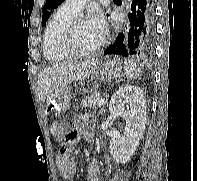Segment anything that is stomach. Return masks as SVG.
Listing matches in <instances>:
<instances>
[{
  "instance_id": "0dacf381",
  "label": "stomach",
  "mask_w": 197,
  "mask_h": 181,
  "mask_svg": "<svg viewBox=\"0 0 197 181\" xmlns=\"http://www.w3.org/2000/svg\"><path fill=\"white\" fill-rule=\"evenodd\" d=\"M95 62L96 65L91 75L92 78L107 81L120 76L122 66L115 59L107 58ZM72 98L73 93L71 87L67 84L62 85L52 91L46 101V105L49 109L55 112H65L70 108Z\"/></svg>"
}]
</instances>
